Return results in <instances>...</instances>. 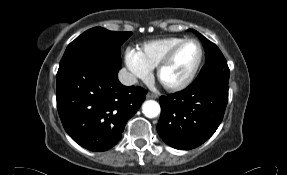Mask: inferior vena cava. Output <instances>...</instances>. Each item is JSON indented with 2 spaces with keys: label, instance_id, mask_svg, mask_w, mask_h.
I'll use <instances>...</instances> for the list:
<instances>
[{
  "label": "inferior vena cava",
  "instance_id": "602c4592",
  "mask_svg": "<svg viewBox=\"0 0 287 175\" xmlns=\"http://www.w3.org/2000/svg\"><path fill=\"white\" fill-rule=\"evenodd\" d=\"M119 81L125 86H132L136 84V77L128 72L125 68L121 69L118 74Z\"/></svg>",
  "mask_w": 287,
  "mask_h": 175
}]
</instances>
